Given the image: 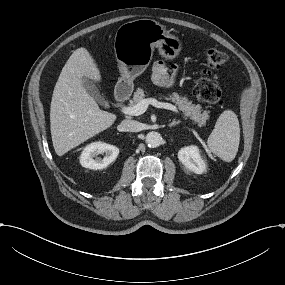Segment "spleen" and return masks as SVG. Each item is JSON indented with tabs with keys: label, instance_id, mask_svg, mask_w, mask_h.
<instances>
[{
	"label": "spleen",
	"instance_id": "3e777b00",
	"mask_svg": "<svg viewBox=\"0 0 285 285\" xmlns=\"http://www.w3.org/2000/svg\"><path fill=\"white\" fill-rule=\"evenodd\" d=\"M240 126L236 113L225 109L217 119L215 129L207 140L208 151L226 163L232 162L238 152Z\"/></svg>",
	"mask_w": 285,
	"mask_h": 285
}]
</instances>
